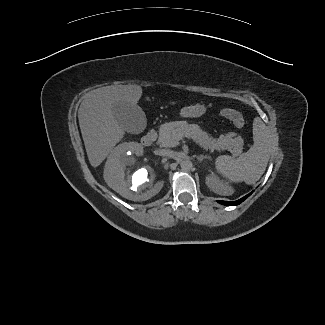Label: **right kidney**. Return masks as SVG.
Masks as SVG:
<instances>
[{
	"label": "right kidney",
	"instance_id": "obj_1",
	"mask_svg": "<svg viewBox=\"0 0 325 325\" xmlns=\"http://www.w3.org/2000/svg\"><path fill=\"white\" fill-rule=\"evenodd\" d=\"M139 144L122 143L109 155L104 169L107 185L126 199L145 201L163 187L156 181L157 174L147 161L139 159Z\"/></svg>",
	"mask_w": 325,
	"mask_h": 325
}]
</instances>
